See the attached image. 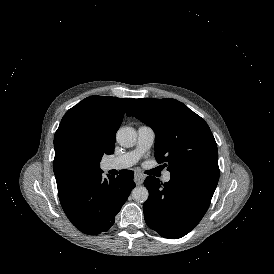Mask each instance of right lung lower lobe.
I'll return each mask as SVG.
<instances>
[{"instance_id": "right-lung-lower-lobe-1", "label": "right lung lower lobe", "mask_w": 274, "mask_h": 274, "mask_svg": "<svg viewBox=\"0 0 274 274\" xmlns=\"http://www.w3.org/2000/svg\"><path fill=\"white\" fill-rule=\"evenodd\" d=\"M107 176L109 179L103 180L101 172L60 198L69 220L85 234L96 235L109 230L135 187L131 170L117 177Z\"/></svg>"}]
</instances>
